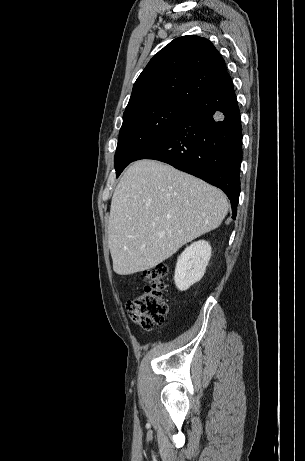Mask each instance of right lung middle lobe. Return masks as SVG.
I'll use <instances>...</instances> for the list:
<instances>
[{"mask_svg":"<svg viewBox=\"0 0 305 461\" xmlns=\"http://www.w3.org/2000/svg\"><path fill=\"white\" fill-rule=\"evenodd\" d=\"M188 107L187 104L162 102L123 115L114 159L117 177L130 162L164 137Z\"/></svg>","mask_w":305,"mask_h":461,"instance_id":"dd1d6c3e","label":"right lung middle lobe"}]
</instances>
